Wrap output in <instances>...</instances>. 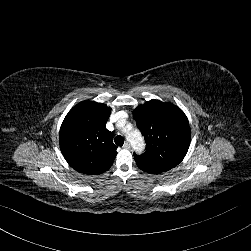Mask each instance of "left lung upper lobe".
<instances>
[{
  "label": "left lung upper lobe",
  "mask_w": 251,
  "mask_h": 251,
  "mask_svg": "<svg viewBox=\"0 0 251 251\" xmlns=\"http://www.w3.org/2000/svg\"><path fill=\"white\" fill-rule=\"evenodd\" d=\"M146 151L134 157L146 163L172 169L185 157L191 138L188 119L172 103L150 100L133 111Z\"/></svg>",
  "instance_id": "1"
}]
</instances>
